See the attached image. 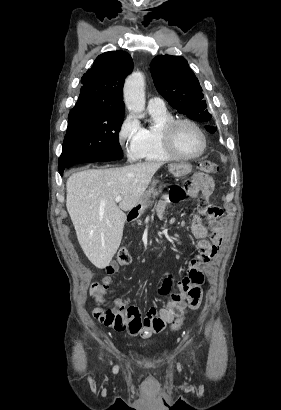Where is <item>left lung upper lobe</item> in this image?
<instances>
[{"label": "left lung upper lobe", "mask_w": 281, "mask_h": 410, "mask_svg": "<svg viewBox=\"0 0 281 410\" xmlns=\"http://www.w3.org/2000/svg\"><path fill=\"white\" fill-rule=\"evenodd\" d=\"M151 74L158 92L179 113L199 122L208 121L212 117L206 109L199 81L183 57H155L151 62ZM210 129V132L216 130L207 127L208 131Z\"/></svg>", "instance_id": "1"}]
</instances>
